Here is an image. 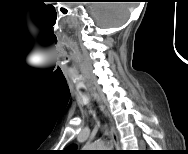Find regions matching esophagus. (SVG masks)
<instances>
[{
	"label": "esophagus",
	"instance_id": "esophagus-1",
	"mask_svg": "<svg viewBox=\"0 0 188 154\" xmlns=\"http://www.w3.org/2000/svg\"><path fill=\"white\" fill-rule=\"evenodd\" d=\"M92 93H93V96L95 97V99L99 102L101 108L104 110V106H103L101 99H100L99 95L97 94V92L93 91ZM110 133H111V138H112V141L116 148V151L119 152L121 149L120 143H119V136H118L117 130L115 129V127L113 125L110 126Z\"/></svg>",
	"mask_w": 188,
	"mask_h": 154
}]
</instances>
